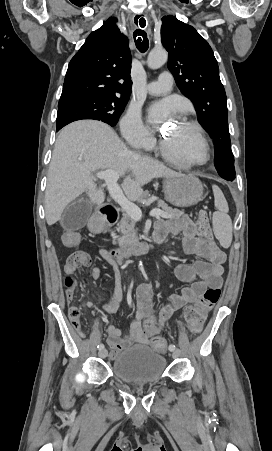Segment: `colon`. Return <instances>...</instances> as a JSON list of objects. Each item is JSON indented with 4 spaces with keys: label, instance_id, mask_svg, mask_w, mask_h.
<instances>
[{
    "label": "colon",
    "instance_id": "obj_1",
    "mask_svg": "<svg viewBox=\"0 0 272 451\" xmlns=\"http://www.w3.org/2000/svg\"><path fill=\"white\" fill-rule=\"evenodd\" d=\"M198 227L203 231V236L201 237L204 241V247L207 249H214L216 244L212 239V232L209 223V216L205 210H201L197 219ZM63 239L66 242L67 250H76L78 237L76 230H63ZM91 263L90 255L83 251H75L69 254L66 261V269H78L87 268ZM68 279V278H67ZM65 289H74V280H65ZM221 297V290L219 288H210L201 296L198 305L189 306L184 312V317L188 323L189 329L193 333L199 332L202 323L205 318V313L215 306ZM70 317L72 324L76 329H79L82 334V329L79 323V311L77 309H72L70 311ZM155 351L166 352L169 350V343L166 339L156 338L154 340Z\"/></svg>",
    "mask_w": 272,
    "mask_h": 451
}]
</instances>
